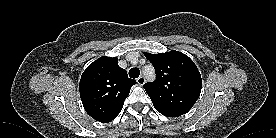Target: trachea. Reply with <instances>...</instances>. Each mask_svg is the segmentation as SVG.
<instances>
[{
	"label": "trachea",
	"mask_w": 276,
	"mask_h": 138,
	"mask_svg": "<svg viewBox=\"0 0 276 138\" xmlns=\"http://www.w3.org/2000/svg\"><path fill=\"white\" fill-rule=\"evenodd\" d=\"M140 75V70L138 68H131L129 70V76L133 79L138 78Z\"/></svg>",
	"instance_id": "obj_1"
}]
</instances>
